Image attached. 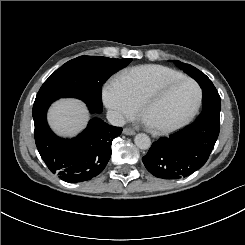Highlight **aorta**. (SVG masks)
I'll return each mask as SVG.
<instances>
[{
  "label": "aorta",
  "mask_w": 245,
  "mask_h": 245,
  "mask_svg": "<svg viewBox=\"0 0 245 245\" xmlns=\"http://www.w3.org/2000/svg\"><path fill=\"white\" fill-rule=\"evenodd\" d=\"M135 145L142 150H146L151 146V140L148 135L144 133H139L134 139Z\"/></svg>",
  "instance_id": "obj_1"
}]
</instances>
